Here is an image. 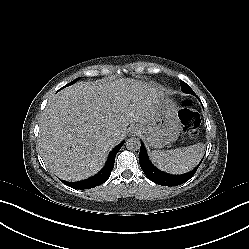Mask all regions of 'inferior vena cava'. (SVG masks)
I'll return each instance as SVG.
<instances>
[{
    "label": "inferior vena cava",
    "mask_w": 249,
    "mask_h": 249,
    "mask_svg": "<svg viewBox=\"0 0 249 249\" xmlns=\"http://www.w3.org/2000/svg\"><path fill=\"white\" fill-rule=\"evenodd\" d=\"M114 140H119V136L115 135Z\"/></svg>",
    "instance_id": "inferior-vena-cava-1"
}]
</instances>
